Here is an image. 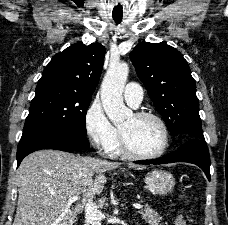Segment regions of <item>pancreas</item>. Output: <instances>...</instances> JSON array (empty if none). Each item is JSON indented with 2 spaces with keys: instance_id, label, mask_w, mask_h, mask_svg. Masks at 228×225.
<instances>
[{
  "instance_id": "pancreas-1",
  "label": "pancreas",
  "mask_w": 228,
  "mask_h": 225,
  "mask_svg": "<svg viewBox=\"0 0 228 225\" xmlns=\"http://www.w3.org/2000/svg\"><path fill=\"white\" fill-rule=\"evenodd\" d=\"M144 207V211H141L140 213L144 221H147L149 225H161V217H159V213H157L155 209H150L148 205H144Z\"/></svg>"
}]
</instances>
